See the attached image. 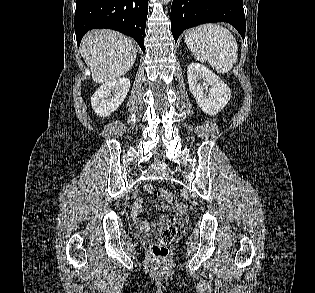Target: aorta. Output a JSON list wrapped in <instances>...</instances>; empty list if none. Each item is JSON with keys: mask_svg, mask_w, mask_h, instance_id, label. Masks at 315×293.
<instances>
[{"mask_svg": "<svg viewBox=\"0 0 315 293\" xmlns=\"http://www.w3.org/2000/svg\"><path fill=\"white\" fill-rule=\"evenodd\" d=\"M171 0H163L164 4H168Z\"/></svg>", "mask_w": 315, "mask_h": 293, "instance_id": "762f6f07", "label": "aorta"}]
</instances>
